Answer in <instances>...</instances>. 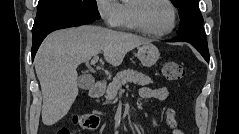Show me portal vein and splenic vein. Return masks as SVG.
I'll list each match as a JSON object with an SVG mask.
<instances>
[{
  "mask_svg": "<svg viewBox=\"0 0 239 134\" xmlns=\"http://www.w3.org/2000/svg\"><path fill=\"white\" fill-rule=\"evenodd\" d=\"M98 59H99L98 55H94V57L92 58L90 64H91V65H95L96 62L98 61Z\"/></svg>",
  "mask_w": 239,
  "mask_h": 134,
  "instance_id": "portal-vein-and-splenic-vein-1",
  "label": "portal vein and splenic vein"
}]
</instances>
